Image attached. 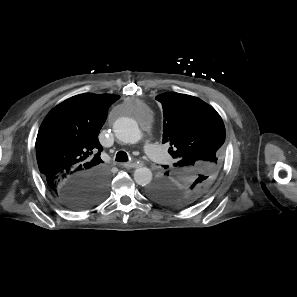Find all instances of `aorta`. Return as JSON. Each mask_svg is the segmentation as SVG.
<instances>
[{
    "label": "aorta",
    "mask_w": 297,
    "mask_h": 297,
    "mask_svg": "<svg viewBox=\"0 0 297 297\" xmlns=\"http://www.w3.org/2000/svg\"><path fill=\"white\" fill-rule=\"evenodd\" d=\"M118 140L126 144H136L142 139V132L135 120L129 117L117 119L113 125ZM134 180L138 185L146 186L152 180V172L147 167H139L134 171Z\"/></svg>",
    "instance_id": "1"
}]
</instances>
